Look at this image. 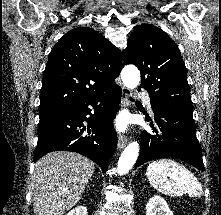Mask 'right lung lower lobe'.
Instances as JSON below:
<instances>
[{
    "mask_svg": "<svg viewBox=\"0 0 221 215\" xmlns=\"http://www.w3.org/2000/svg\"><path fill=\"white\" fill-rule=\"evenodd\" d=\"M121 96V87L114 84L67 108L40 115L34 162L52 151H72L88 157L105 172L117 146L112 122ZM83 122L89 124L87 131Z\"/></svg>",
    "mask_w": 221,
    "mask_h": 215,
    "instance_id": "right-lung-lower-lobe-1",
    "label": "right lung lower lobe"
}]
</instances>
